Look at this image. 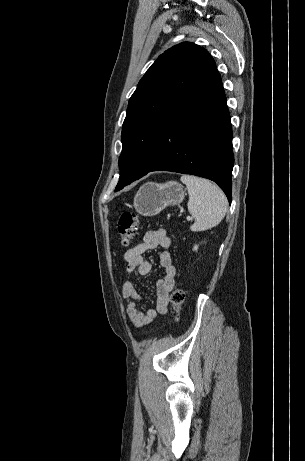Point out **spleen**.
<instances>
[{
  "label": "spleen",
  "instance_id": "3e777b00",
  "mask_svg": "<svg viewBox=\"0 0 305 461\" xmlns=\"http://www.w3.org/2000/svg\"><path fill=\"white\" fill-rule=\"evenodd\" d=\"M181 182L189 194L188 211L195 218L191 231H205L217 226L227 212V198L223 191L207 179L183 175Z\"/></svg>",
  "mask_w": 305,
  "mask_h": 461
}]
</instances>
